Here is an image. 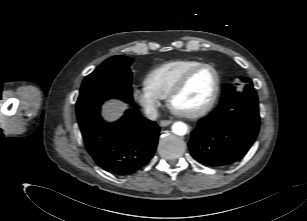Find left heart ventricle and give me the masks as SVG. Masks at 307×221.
<instances>
[{
  "instance_id": "b2bd125f",
  "label": "left heart ventricle",
  "mask_w": 307,
  "mask_h": 221,
  "mask_svg": "<svg viewBox=\"0 0 307 221\" xmlns=\"http://www.w3.org/2000/svg\"><path fill=\"white\" fill-rule=\"evenodd\" d=\"M215 88V74L209 68L197 72L186 88L173 102L180 112L189 113L202 108L211 98Z\"/></svg>"
}]
</instances>
